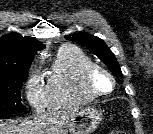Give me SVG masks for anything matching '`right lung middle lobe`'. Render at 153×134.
<instances>
[{
  "instance_id": "dd1d6c3e",
  "label": "right lung middle lobe",
  "mask_w": 153,
  "mask_h": 134,
  "mask_svg": "<svg viewBox=\"0 0 153 134\" xmlns=\"http://www.w3.org/2000/svg\"><path fill=\"white\" fill-rule=\"evenodd\" d=\"M28 71L0 73V115H13L26 108L21 103L20 90Z\"/></svg>"
}]
</instances>
